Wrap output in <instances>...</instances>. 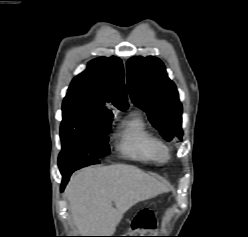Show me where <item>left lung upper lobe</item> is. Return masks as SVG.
<instances>
[{
    "label": "left lung upper lobe",
    "instance_id": "obj_1",
    "mask_svg": "<svg viewBox=\"0 0 248 237\" xmlns=\"http://www.w3.org/2000/svg\"><path fill=\"white\" fill-rule=\"evenodd\" d=\"M127 81L132 101L143 109L162 136L182 139V105L174 82L156 57H133L127 62Z\"/></svg>",
    "mask_w": 248,
    "mask_h": 237
}]
</instances>
